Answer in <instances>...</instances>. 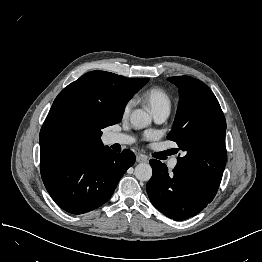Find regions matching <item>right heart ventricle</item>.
Returning a JSON list of instances; mask_svg holds the SVG:
<instances>
[{"label": "right heart ventricle", "instance_id": "e07e8e85", "mask_svg": "<svg viewBox=\"0 0 262 262\" xmlns=\"http://www.w3.org/2000/svg\"><path fill=\"white\" fill-rule=\"evenodd\" d=\"M143 99L150 106L153 113L157 110L163 108L170 109L171 107V98L169 94L159 87H152L148 89L143 94Z\"/></svg>", "mask_w": 262, "mask_h": 262}]
</instances>
